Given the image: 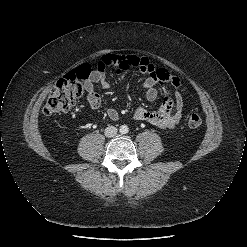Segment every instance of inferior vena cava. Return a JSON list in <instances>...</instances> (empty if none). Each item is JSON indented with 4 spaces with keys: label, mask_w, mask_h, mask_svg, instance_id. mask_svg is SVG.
<instances>
[{
    "label": "inferior vena cava",
    "mask_w": 247,
    "mask_h": 247,
    "mask_svg": "<svg viewBox=\"0 0 247 247\" xmlns=\"http://www.w3.org/2000/svg\"><path fill=\"white\" fill-rule=\"evenodd\" d=\"M117 134V128L114 127V126H108L106 129H105V136L106 137H114L116 136Z\"/></svg>",
    "instance_id": "obj_1"
}]
</instances>
